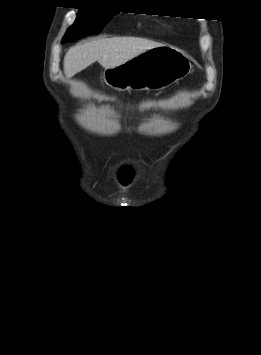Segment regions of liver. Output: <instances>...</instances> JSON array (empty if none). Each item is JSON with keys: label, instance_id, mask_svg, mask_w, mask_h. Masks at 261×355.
Segmentation results:
<instances>
[{"label": "liver", "instance_id": "liver-1", "mask_svg": "<svg viewBox=\"0 0 261 355\" xmlns=\"http://www.w3.org/2000/svg\"><path fill=\"white\" fill-rule=\"evenodd\" d=\"M159 46L162 45L138 37H114L78 44L66 53L64 72L71 78L96 61L105 69L113 68Z\"/></svg>", "mask_w": 261, "mask_h": 355}]
</instances>
